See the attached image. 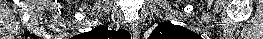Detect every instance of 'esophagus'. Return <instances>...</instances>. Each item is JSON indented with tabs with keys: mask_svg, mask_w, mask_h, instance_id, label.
<instances>
[{
	"mask_svg": "<svg viewBox=\"0 0 263 39\" xmlns=\"http://www.w3.org/2000/svg\"><path fill=\"white\" fill-rule=\"evenodd\" d=\"M131 31H132L133 39H139V37H140V30H139V26H138L137 23H132L131 24Z\"/></svg>",
	"mask_w": 263,
	"mask_h": 39,
	"instance_id": "1",
	"label": "esophagus"
}]
</instances>
